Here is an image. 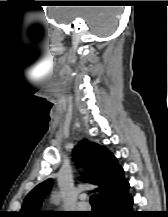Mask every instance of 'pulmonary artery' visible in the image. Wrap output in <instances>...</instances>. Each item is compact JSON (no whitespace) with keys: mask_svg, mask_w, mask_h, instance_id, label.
Returning a JSON list of instances; mask_svg holds the SVG:
<instances>
[{"mask_svg":"<svg viewBox=\"0 0 168 217\" xmlns=\"http://www.w3.org/2000/svg\"><path fill=\"white\" fill-rule=\"evenodd\" d=\"M84 199L85 197L83 196L80 197V200L77 204L78 209H82V210L88 209V205L86 202H84Z\"/></svg>","mask_w":168,"mask_h":217,"instance_id":"pulmonary-artery-1","label":"pulmonary artery"}]
</instances>
